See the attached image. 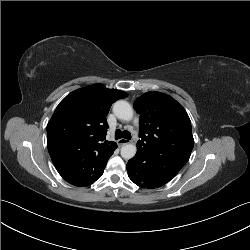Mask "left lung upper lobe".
Instances as JSON below:
<instances>
[{"mask_svg": "<svg viewBox=\"0 0 250 250\" xmlns=\"http://www.w3.org/2000/svg\"><path fill=\"white\" fill-rule=\"evenodd\" d=\"M140 114L137 150L156 164L180 170L189 160L194 139L185 109L171 96L147 92L134 102Z\"/></svg>", "mask_w": 250, "mask_h": 250, "instance_id": "left-lung-upper-lobe-1", "label": "left lung upper lobe"}]
</instances>
